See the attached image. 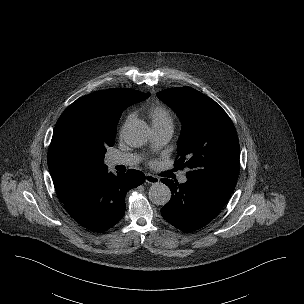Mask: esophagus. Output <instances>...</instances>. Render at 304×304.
I'll return each mask as SVG.
<instances>
[{"label": "esophagus", "instance_id": "1", "mask_svg": "<svg viewBox=\"0 0 304 304\" xmlns=\"http://www.w3.org/2000/svg\"><path fill=\"white\" fill-rule=\"evenodd\" d=\"M145 181L149 184H157V183H159L160 179L157 176H154L151 174H146Z\"/></svg>", "mask_w": 304, "mask_h": 304}]
</instances>
